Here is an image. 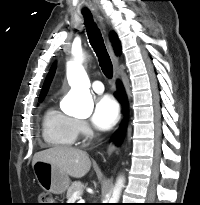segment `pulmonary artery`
Wrapping results in <instances>:
<instances>
[{"instance_id": "pulmonary-artery-1", "label": "pulmonary artery", "mask_w": 200, "mask_h": 205, "mask_svg": "<svg viewBox=\"0 0 200 205\" xmlns=\"http://www.w3.org/2000/svg\"><path fill=\"white\" fill-rule=\"evenodd\" d=\"M92 89L96 93L100 94V93H103V91H104V85L101 81L96 80L92 83Z\"/></svg>"}]
</instances>
